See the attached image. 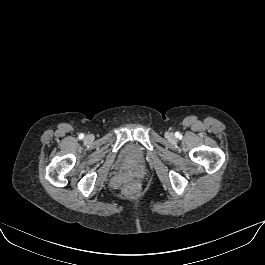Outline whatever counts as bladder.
I'll return each mask as SVG.
<instances>
[{"mask_svg":"<svg viewBox=\"0 0 265 265\" xmlns=\"http://www.w3.org/2000/svg\"><path fill=\"white\" fill-rule=\"evenodd\" d=\"M144 161V151L136 143L127 144L120 154V162L124 166L137 165L143 163Z\"/></svg>","mask_w":265,"mask_h":265,"instance_id":"bladder-1","label":"bladder"}]
</instances>
